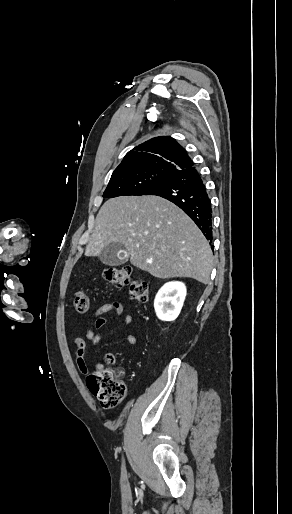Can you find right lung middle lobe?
I'll list each match as a JSON object with an SVG mask.
<instances>
[{"label": "right lung middle lobe", "mask_w": 292, "mask_h": 514, "mask_svg": "<svg viewBox=\"0 0 292 514\" xmlns=\"http://www.w3.org/2000/svg\"><path fill=\"white\" fill-rule=\"evenodd\" d=\"M170 175L165 172H142L111 176L103 197L143 195Z\"/></svg>", "instance_id": "dd1d6c3e"}]
</instances>
